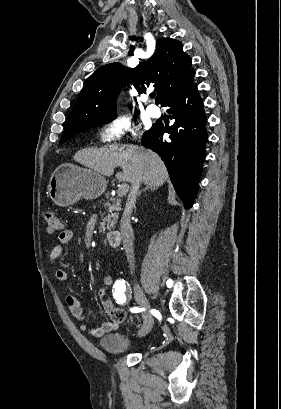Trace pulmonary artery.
<instances>
[{
  "label": "pulmonary artery",
  "mask_w": 281,
  "mask_h": 409,
  "mask_svg": "<svg viewBox=\"0 0 281 409\" xmlns=\"http://www.w3.org/2000/svg\"><path fill=\"white\" fill-rule=\"evenodd\" d=\"M147 113L151 118L158 119L161 116V111L155 106L147 107Z\"/></svg>",
  "instance_id": "e3ab8cb5"
}]
</instances>
